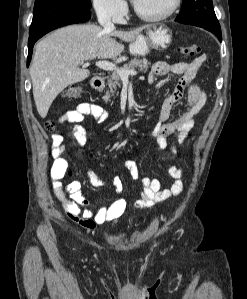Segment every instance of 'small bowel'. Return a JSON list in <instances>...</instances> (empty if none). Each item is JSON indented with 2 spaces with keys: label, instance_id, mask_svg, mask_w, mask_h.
Returning a JSON list of instances; mask_svg holds the SVG:
<instances>
[{
  "label": "small bowel",
  "instance_id": "1",
  "mask_svg": "<svg viewBox=\"0 0 247 299\" xmlns=\"http://www.w3.org/2000/svg\"><path fill=\"white\" fill-rule=\"evenodd\" d=\"M206 60L204 54L196 57L190 62H177L169 64L165 61L155 63L150 71L148 81L152 83L156 77L165 76L169 73L180 76L175 89L171 95L163 102L159 121L152 131L153 137L156 139L158 146L161 149L167 147V137L173 133L177 134L179 143H182L194 125V117L202 109L206 102V94L201 87L192 84L198 70ZM184 96L187 97L188 106L175 120L170 121L172 108ZM86 116H92L96 121L103 122L107 120V111L98 104L91 102H82L75 108L68 110L60 117V122H68L73 125L72 135L76 143L83 147L86 144V131L82 126V122ZM52 155L55 157V162L52 167L53 191L55 197L61 204L62 209L67 216L73 221L79 223L87 230H94L97 226L105 223L116 222L126 209V200L122 197L117 198L108 206L100 207L98 210H93L90 207L89 201L81 192V185L78 181H73L63 187L59 181L67 167L68 161L63 156L66 147L63 144V136L54 134L52 136ZM173 154L177 153L176 147H172ZM125 168L129 171L132 179H139V168L134 160H126ZM169 175L175 179L170 188H162L161 182L156 178H142V192L138 200L134 202V207L137 209H147L156 204H160L178 196L183 190V171L172 165L168 169ZM86 177L89 183L96 188L104 186V180L92 171H86ZM116 192L120 194L123 189V182L119 177L113 181ZM69 195V196H67Z\"/></svg>",
  "mask_w": 247,
  "mask_h": 299
}]
</instances>
